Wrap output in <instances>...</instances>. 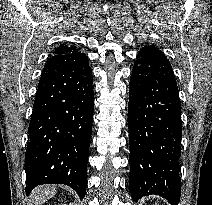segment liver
<instances>
[{
  "mask_svg": "<svg viewBox=\"0 0 212 205\" xmlns=\"http://www.w3.org/2000/svg\"><path fill=\"white\" fill-rule=\"evenodd\" d=\"M56 193L54 186H39L32 192V199L35 201V205H41L48 199L52 198Z\"/></svg>",
  "mask_w": 212,
  "mask_h": 205,
  "instance_id": "liver-1",
  "label": "liver"
}]
</instances>
